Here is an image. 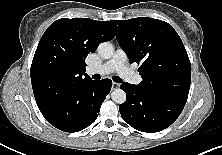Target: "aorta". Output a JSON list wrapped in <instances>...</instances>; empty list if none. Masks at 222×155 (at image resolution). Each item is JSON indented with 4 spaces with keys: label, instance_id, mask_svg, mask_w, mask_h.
<instances>
[{
    "label": "aorta",
    "instance_id": "762f6f07",
    "mask_svg": "<svg viewBox=\"0 0 222 155\" xmlns=\"http://www.w3.org/2000/svg\"><path fill=\"white\" fill-rule=\"evenodd\" d=\"M98 53L99 55L103 58V59H109L112 57L113 53H114V47L111 43L109 42H103L101 44H99L98 46ZM111 98L114 102H116L117 104H122L126 101V93L124 90L118 88L115 89L112 93H111Z\"/></svg>",
    "mask_w": 222,
    "mask_h": 155
}]
</instances>
